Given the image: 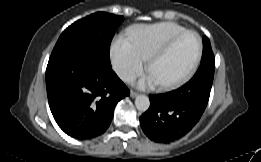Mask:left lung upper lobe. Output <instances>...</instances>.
I'll list each match as a JSON object with an SVG mask.
<instances>
[{
    "instance_id": "obj_1",
    "label": "left lung upper lobe",
    "mask_w": 261,
    "mask_h": 162,
    "mask_svg": "<svg viewBox=\"0 0 261 162\" xmlns=\"http://www.w3.org/2000/svg\"><path fill=\"white\" fill-rule=\"evenodd\" d=\"M215 69V58L211 48L209 39L203 37V54L201 59V64L198 71L203 70H214Z\"/></svg>"
}]
</instances>
